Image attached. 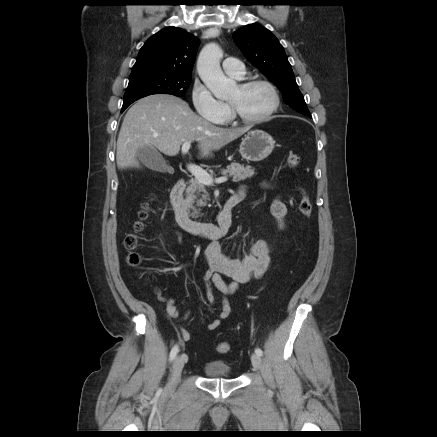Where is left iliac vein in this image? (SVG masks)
Returning <instances> with one entry per match:
<instances>
[{
	"mask_svg": "<svg viewBox=\"0 0 437 437\" xmlns=\"http://www.w3.org/2000/svg\"><path fill=\"white\" fill-rule=\"evenodd\" d=\"M251 362H252L253 368L255 370H260L261 365H262V360H261V357L259 355L252 354L251 355Z\"/></svg>",
	"mask_w": 437,
	"mask_h": 437,
	"instance_id": "1",
	"label": "left iliac vein"
}]
</instances>
